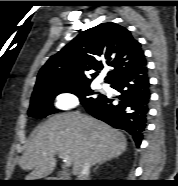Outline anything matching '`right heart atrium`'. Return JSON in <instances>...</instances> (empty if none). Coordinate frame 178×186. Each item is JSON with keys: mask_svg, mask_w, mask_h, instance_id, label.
<instances>
[{"mask_svg": "<svg viewBox=\"0 0 178 186\" xmlns=\"http://www.w3.org/2000/svg\"><path fill=\"white\" fill-rule=\"evenodd\" d=\"M79 103L80 97L73 91L60 92L55 98V107L58 111H68L77 107Z\"/></svg>", "mask_w": 178, "mask_h": 186, "instance_id": "1", "label": "right heart atrium"}]
</instances>
